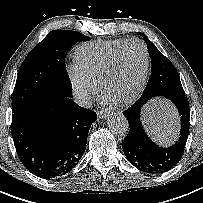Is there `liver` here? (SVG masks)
Segmentation results:
<instances>
[{
  "label": "liver",
  "instance_id": "obj_1",
  "mask_svg": "<svg viewBox=\"0 0 203 203\" xmlns=\"http://www.w3.org/2000/svg\"><path fill=\"white\" fill-rule=\"evenodd\" d=\"M151 110V111H150ZM146 123L153 137L161 143H169L175 136V114L162 107L161 109H148Z\"/></svg>",
  "mask_w": 203,
  "mask_h": 203
}]
</instances>
